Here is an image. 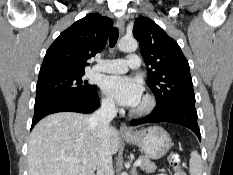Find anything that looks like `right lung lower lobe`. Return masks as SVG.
<instances>
[{
  "label": "right lung lower lobe",
  "mask_w": 233,
  "mask_h": 175,
  "mask_svg": "<svg viewBox=\"0 0 233 175\" xmlns=\"http://www.w3.org/2000/svg\"><path fill=\"white\" fill-rule=\"evenodd\" d=\"M100 105L97 92L86 97H50L35 102L33 128L43 117L57 112L91 113Z\"/></svg>",
  "instance_id": "right-lung-lower-lobe-1"
}]
</instances>
